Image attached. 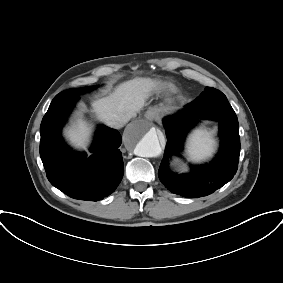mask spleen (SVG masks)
I'll return each instance as SVG.
<instances>
[{
	"label": "spleen",
	"mask_w": 283,
	"mask_h": 283,
	"mask_svg": "<svg viewBox=\"0 0 283 283\" xmlns=\"http://www.w3.org/2000/svg\"><path fill=\"white\" fill-rule=\"evenodd\" d=\"M215 144L211 131L206 128H197L187 139L186 155L190 161H203L212 156Z\"/></svg>",
	"instance_id": "3e777b00"
}]
</instances>
